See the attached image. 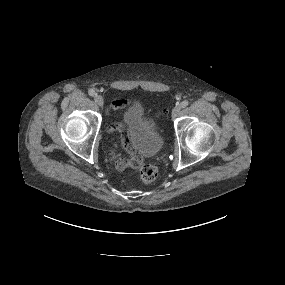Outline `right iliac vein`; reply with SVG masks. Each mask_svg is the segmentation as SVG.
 <instances>
[{
    "instance_id": "obj_1",
    "label": "right iliac vein",
    "mask_w": 285,
    "mask_h": 285,
    "mask_svg": "<svg viewBox=\"0 0 285 285\" xmlns=\"http://www.w3.org/2000/svg\"><path fill=\"white\" fill-rule=\"evenodd\" d=\"M94 101H95V103H96L98 106H100V107H102L103 104H104V99H103V97L100 96V95L95 96Z\"/></svg>"
}]
</instances>
